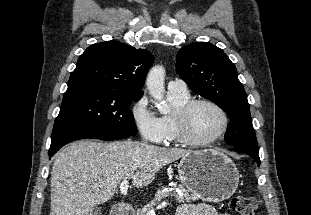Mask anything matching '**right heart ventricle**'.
<instances>
[{"label": "right heart ventricle", "instance_id": "right-heart-ventricle-1", "mask_svg": "<svg viewBox=\"0 0 311 215\" xmlns=\"http://www.w3.org/2000/svg\"><path fill=\"white\" fill-rule=\"evenodd\" d=\"M168 99L174 108V112L161 117L167 128L168 136L166 141L167 142L179 141L178 131L174 120V113L179 107L190 101L191 96L189 92L187 93L168 92Z\"/></svg>", "mask_w": 311, "mask_h": 215}]
</instances>
